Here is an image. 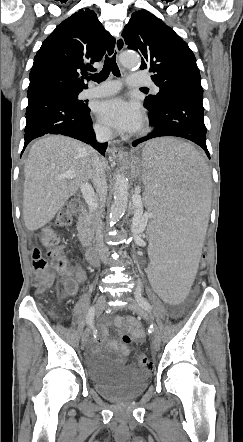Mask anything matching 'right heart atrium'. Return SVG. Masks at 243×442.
Wrapping results in <instances>:
<instances>
[{"label":"right heart atrium","instance_id":"1","mask_svg":"<svg viewBox=\"0 0 243 442\" xmlns=\"http://www.w3.org/2000/svg\"><path fill=\"white\" fill-rule=\"evenodd\" d=\"M94 129L99 135H102V136H108L110 134L109 129L100 122H97L94 125Z\"/></svg>","mask_w":243,"mask_h":442}]
</instances>
